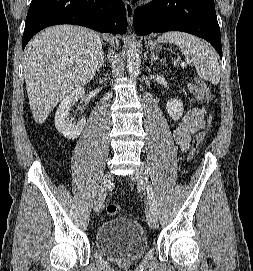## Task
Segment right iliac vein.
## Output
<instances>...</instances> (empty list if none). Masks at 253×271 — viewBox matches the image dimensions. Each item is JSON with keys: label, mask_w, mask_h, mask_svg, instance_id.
Wrapping results in <instances>:
<instances>
[{"label": "right iliac vein", "mask_w": 253, "mask_h": 271, "mask_svg": "<svg viewBox=\"0 0 253 271\" xmlns=\"http://www.w3.org/2000/svg\"><path fill=\"white\" fill-rule=\"evenodd\" d=\"M112 182H113V175L112 173L107 172L98 190V194H97V198H96V202L94 206L95 212H99L102 209L107 191L110 188Z\"/></svg>", "instance_id": "63e3f726"}]
</instances>
